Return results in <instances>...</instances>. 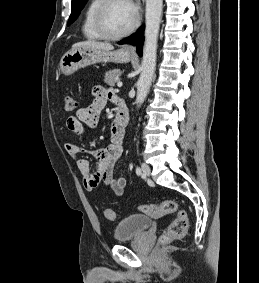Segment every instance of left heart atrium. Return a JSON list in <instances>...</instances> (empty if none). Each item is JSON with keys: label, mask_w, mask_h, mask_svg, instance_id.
Wrapping results in <instances>:
<instances>
[{"label": "left heart atrium", "mask_w": 259, "mask_h": 283, "mask_svg": "<svg viewBox=\"0 0 259 283\" xmlns=\"http://www.w3.org/2000/svg\"><path fill=\"white\" fill-rule=\"evenodd\" d=\"M130 6L134 9L135 8V3L133 0H127Z\"/></svg>", "instance_id": "left-heart-atrium-1"}]
</instances>
